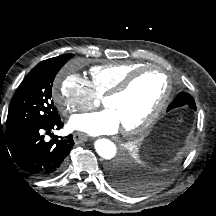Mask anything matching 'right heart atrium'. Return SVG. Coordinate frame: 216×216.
<instances>
[{"label":"right heart atrium","instance_id":"1","mask_svg":"<svg viewBox=\"0 0 216 216\" xmlns=\"http://www.w3.org/2000/svg\"><path fill=\"white\" fill-rule=\"evenodd\" d=\"M53 100L62 115L89 109L97 94L93 91L89 81L78 74L65 76L53 92Z\"/></svg>","mask_w":216,"mask_h":216}]
</instances>
